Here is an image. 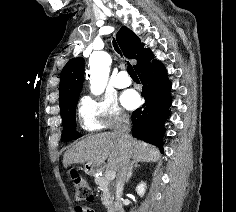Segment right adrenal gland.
I'll use <instances>...</instances> for the list:
<instances>
[{
    "label": "right adrenal gland",
    "mask_w": 236,
    "mask_h": 212,
    "mask_svg": "<svg viewBox=\"0 0 236 212\" xmlns=\"http://www.w3.org/2000/svg\"><path fill=\"white\" fill-rule=\"evenodd\" d=\"M140 165L136 161H132L130 164L129 174L126 180V183H128L129 179L132 177L133 174V168H138Z\"/></svg>",
    "instance_id": "right-adrenal-gland-1"
}]
</instances>
